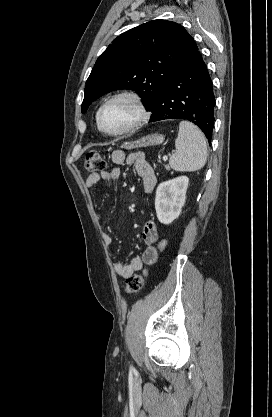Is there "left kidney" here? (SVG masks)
<instances>
[{"instance_id": "5707ae66", "label": "left kidney", "mask_w": 272, "mask_h": 417, "mask_svg": "<svg viewBox=\"0 0 272 417\" xmlns=\"http://www.w3.org/2000/svg\"><path fill=\"white\" fill-rule=\"evenodd\" d=\"M189 183L187 176L162 182L156 190L155 210L162 224H170L179 217L186 199Z\"/></svg>"}]
</instances>
